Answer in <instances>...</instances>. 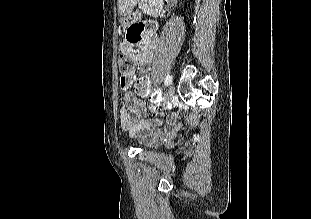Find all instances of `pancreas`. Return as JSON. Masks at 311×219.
I'll list each match as a JSON object with an SVG mask.
<instances>
[{
	"mask_svg": "<svg viewBox=\"0 0 311 219\" xmlns=\"http://www.w3.org/2000/svg\"><path fill=\"white\" fill-rule=\"evenodd\" d=\"M158 5V0H141L139 8L143 11V13H150L154 7H157Z\"/></svg>",
	"mask_w": 311,
	"mask_h": 219,
	"instance_id": "pancreas-1",
	"label": "pancreas"
}]
</instances>
